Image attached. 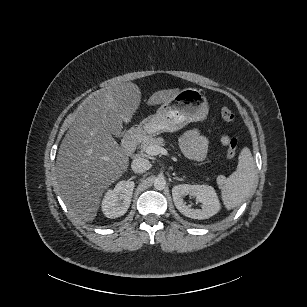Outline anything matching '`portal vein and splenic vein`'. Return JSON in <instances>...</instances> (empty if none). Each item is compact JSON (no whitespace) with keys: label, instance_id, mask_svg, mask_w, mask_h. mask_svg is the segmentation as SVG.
Here are the masks:
<instances>
[{"label":"portal vein and splenic vein","instance_id":"obj_1","mask_svg":"<svg viewBox=\"0 0 307 307\" xmlns=\"http://www.w3.org/2000/svg\"><path fill=\"white\" fill-rule=\"evenodd\" d=\"M159 153L165 154L166 150L159 145L150 146L148 149V154L150 155H157Z\"/></svg>","mask_w":307,"mask_h":307}]
</instances>
